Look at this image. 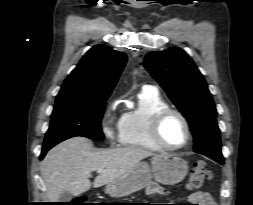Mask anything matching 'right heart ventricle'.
Instances as JSON below:
<instances>
[{
	"label": "right heart ventricle",
	"mask_w": 253,
	"mask_h": 205,
	"mask_svg": "<svg viewBox=\"0 0 253 205\" xmlns=\"http://www.w3.org/2000/svg\"><path fill=\"white\" fill-rule=\"evenodd\" d=\"M169 108L162 96L152 89H142L138 94L136 109L124 113L119 120V143L124 147L160 151L150 136V123L159 111Z\"/></svg>",
	"instance_id": "obj_1"
}]
</instances>
